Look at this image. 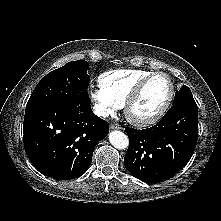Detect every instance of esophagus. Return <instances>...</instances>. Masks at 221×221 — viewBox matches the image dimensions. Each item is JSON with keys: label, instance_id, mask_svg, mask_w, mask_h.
<instances>
[{"label": "esophagus", "instance_id": "34e87169", "mask_svg": "<svg viewBox=\"0 0 221 221\" xmlns=\"http://www.w3.org/2000/svg\"><path fill=\"white\" fill-rule=\"evenodd\" d=\"M110 128L111 129H121V126L118 123H111Z\"/></svg>", "mask_w": 221, "mask_h": 221}]
</instances>
